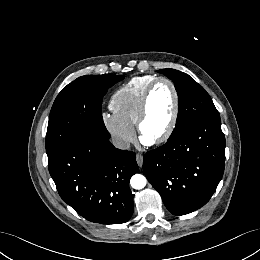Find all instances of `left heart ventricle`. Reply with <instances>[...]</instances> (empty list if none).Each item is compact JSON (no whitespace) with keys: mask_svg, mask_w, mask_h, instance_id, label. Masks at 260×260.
Here are the masks:
<instances>
[{"mask_svg":"<svg viewBox=\"0 0 260 260\" xmlns=\"http://www.w3.org/2000/svg\"><path fill=\"white\" fill-rule=\"evenodd\" d=\"M174 109V96L170 86L160 83L151 95L147 116L142 125L143 137L154 140L167 129Z\"/></svg>","mask_w":260,"mask_h":260,"instance_id":"1","label":"left heart ventricle"}]
</instances>
